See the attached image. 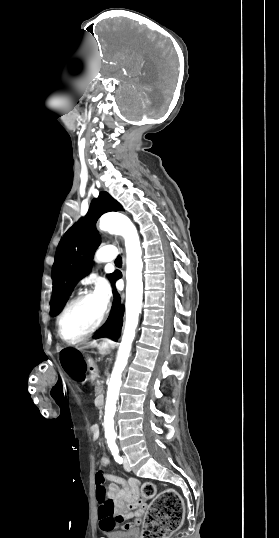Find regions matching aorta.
Returning <instances> with one entry per match:
<instances>
[{
	"instance_id": "1",
	"label": "aorta",
	"mask_w": 279,
	"mask_h": 538,
	"mask_svg": "<svg viewBox=\"0 0 279 538\" xmlns=\"http://www.w3.org/2000/svg\"><path fill=\"white\" fill-rule=\"evenodd\" d=\"M99 228L112 234L121 235L126 248V320L119 346L117 359L108 384L104 427L107 444L111 449L117 448L116 433L114 431V414L116 401L121 387L122 372L130 356L131 345L135 337V330L142 308L143 282H142V250L139 236L133 223L123 214L109 213L100 218Z\"/></svg>"
}]
</instances>
